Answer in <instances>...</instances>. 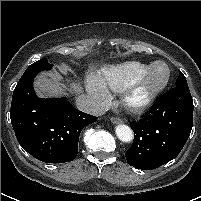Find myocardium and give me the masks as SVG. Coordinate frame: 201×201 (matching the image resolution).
Here are the masks:
<instances>
[{"label": "myocardium", "instance_id": "myocardium-1", "mask_svg": "<svg viewBox=\"0 0 201 201\" xmlns=\"http://www.w3.org/2000/svg\"><path fill=\"white\" fill-rule=\"evenodd\" d=\"M158 64H162L166 67L167 74L164 81L154 87L147 89L142 95H138L145 79L151 72V70ZM171 78V70L168 64L164 61H156L149 65V67L137 78H135L130 84H128L122 91V104L131 113L140 114L147 111L156 101L158 96L168 86Z\"/></svg>", "mask_w": 201, "mask_h": 201}]
</instances>
